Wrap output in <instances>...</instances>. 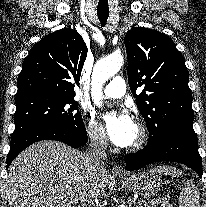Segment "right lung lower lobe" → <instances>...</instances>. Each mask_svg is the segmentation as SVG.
Wrapping results in <instances>:
<instances>
[{
    "label": "right lung lower lobe",
    "mask_w": 206,
    "mask_h": 207,
    "mask_svg": "<svg viewBox=\"0 0 206 207\" xmlns=\"http://www.w3.org/2000/svg\"><path fill=\"white\" fill-rule=\"evenodd\" d=\"M41 140H57L77 148L86 144L88 137L86 130L74 132L60 127H42L28 131L20 137L11 139L10 151L7 155V168L21 151Z\"/></svg>",
    "instance_id": "1"
}]
</instances>
